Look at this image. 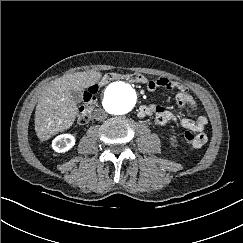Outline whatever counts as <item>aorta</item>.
<instances>
[{
  "label": "aorta",
  "mask_w": 243,
  "mask_h": 243,
  "mask_svg": "<svg viewBox=\"0 0 243 243\" xmlns=\"http://www.w3.org/2000/svg\"><path fill=\"white\" fill-rule=\"evenodd\" d=\"M135 104L134 89L124 82L110 84L104 93L103 106L114 115H123L131 111Z\"/></svg>",
  "instance_id": "aorta-1"
}]
</instances>
